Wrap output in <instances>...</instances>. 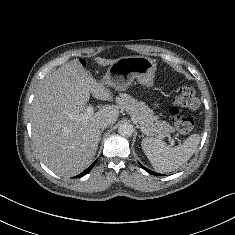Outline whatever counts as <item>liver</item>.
Here are the masks:
<instances>
[{
  "instance_id": "6515ba94",
  "label": "liver",
  "mask_w": 235,
  "mask_h": 235,
  "mask_svg": "<svg viewBox=\"0 0 235 235\" xmlns=\"http://www.w3.org/2000/svg\"><path fill=\"white\" fill-rule=\"evenodd\" d=\"M101 65L116 60L97 57ZM90 93L99 100L111 101L112 95L101 81L74 62L66 63L43 78L31 106L32 135L42 162L60 176H74L93 160L101 139L99 123L114 124L119 116L115 106L105 105L83 120L71 115H85Z\"/></svg>"
}]
</instances>
